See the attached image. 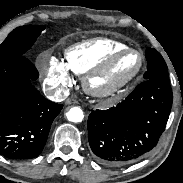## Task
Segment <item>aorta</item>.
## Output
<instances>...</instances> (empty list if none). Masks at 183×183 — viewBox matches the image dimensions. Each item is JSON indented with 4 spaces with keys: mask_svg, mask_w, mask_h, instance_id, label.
Segmentation results:
<instances>
[{
    "mask_svg": "<svg viewBox=\"0 0 183 183\" xmlns=\"http://www.w3.org/2000/svg\"><path fill=\"white\" fill-rule=\"evenodd\" d=\"M67 119L70 122L79 123L83 120L84 114L80 107H72L67 113H66Z\"/></svg>",
    "mask_w": 183,
    "mask_h": 183,
    "instance_id": "aorta-1",
    "label": "aorta"
}]
</instances>
